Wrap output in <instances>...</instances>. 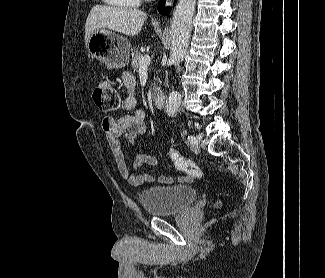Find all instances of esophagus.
<instances>
[{"instance_id": "esophagus-1", "label": "esophagus", "mask_w": 325, "mask_h": 278, "mask_svg": "<svg viewBox=\"0 0 325 278\" xmlns=\"http://www.w3.org/2000/svg\"><path fill=\"white\" fill-rule=\"evenodd\" d=\"M173 2V0H168V4H171Z\"/></svg>"}]
</instances>
